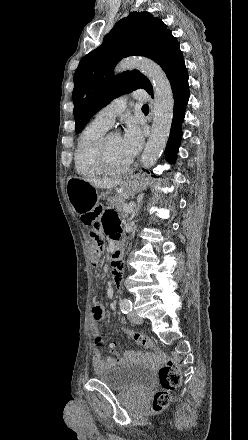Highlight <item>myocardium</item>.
I'll return each instance as SVG.
<instances>
[{
	"mask_svg": "<svg viewBox=\"0 0 248 440\" xmlns=\"http://www.w3.org/2000/svg\"><path fill=\"white\" fill-rule=\"evenodd\" d=\"M110 135L111 134H104V136L101 138L99 142L97 148V154H96L97 163L99 167L102 169V171L106 174H111V175L124 174L131 169L132 162L121 168H116L112 166L108 155V138Z\"/></svg>",
	"mask_w": 248,
	"mask_h": 440,
	"instance_id": "myocardium-1",
	"label": "myocardium"
}]
</instances>
